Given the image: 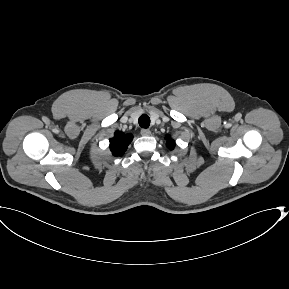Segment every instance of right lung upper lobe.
Segmentation results:
<instances>
[{
    "label": "right lung upper lobe",
    "instance_id": "obj_1",
    "mask_svg": "<svg viewBox=\"0 0 289 289\" xmlns=\"http://www.w3.org/2000/svg\"><path fill=\"white\" fill-rule=\"evenodd\" d=\"M133 136L131 134H124L117 131L114 137L110 139V150L114 156H121L127 150V146L132 141Z\"/></svg>",
    "mask_w": 289,
    "mask_h": 289
}]
</instances>
